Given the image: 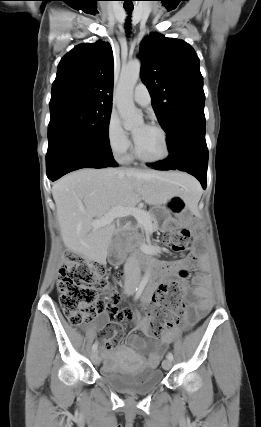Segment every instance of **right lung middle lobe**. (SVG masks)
I'll return each instance as SVG.
<instances>
[{"label":"right lung middle lobe","instance_id":"1","mask_svg":"<svg viewBox=\"0 0 261 427\" xmlns=\"http://www.w3.org/2000/svg\"><path fill=\"white\" fill-rule=\"evenodd\" d=\"M112 107L70 104L50 109L48 145L71 141L109 147Z\"/></svg>","mask_w":261,"mask_h":427}]
</instances>
